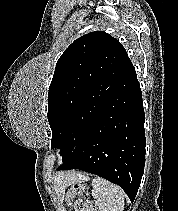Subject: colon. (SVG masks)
Here are the masks:
<instances>
[{
	"label": "colon",
	"mask_w": 178,
	"mask_h": 211,
	"mask_svg": "<svg viewBox=\"0 0 178 211\" xmlns=\"http://www.w3.org/2000/svg\"><path fill=\"white\" fill-rule=\"evenodd\" d=\"M85 186L80 183L73 184L65 194V201L70 208H73L76 203V197L81 194Z\"/></svg>",
	"instance_id": "obj_1"
}]
</instances>
